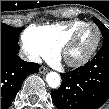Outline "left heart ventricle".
Returning a JSON list of instances; mask_svg holds the SVG:
<instances>
[{"instance_id": "left-heart-ventricle-1", "label": "left heart ventricle", "mask_w": 109, "mask_h": 109, "mask_svg": "<svg viewBox=\"0 0 109 109\" xmlns=\"http://www.w3.org/2000/svg\"><path fill=\"white\" fill-rule=\"evenodd\" d=\"M97 39V30L94 27L85 28L79 35L77 42L68 52L71 60H77L86 55Z\"/></svg>"}]
</instances>
